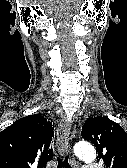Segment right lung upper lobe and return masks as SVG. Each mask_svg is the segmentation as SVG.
Instances as JSON below:
<instances>
[{"instance_id":"right-lung-upper-lobe-1","label":"right lung upper lobe","mask_w":127,"mask_h":168,"mask_svg":"<svg viewBox=\"0 0 127 168\" xmlns=\"http://www.w3.org/2000/svg\"><path fill=\"white\" fill-rule=\"evenodd\" d=\"M53 138L54 125L40 114L16 120L0 132V168H46Z\"/></svg>"}]
</instances>
